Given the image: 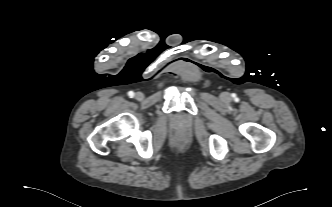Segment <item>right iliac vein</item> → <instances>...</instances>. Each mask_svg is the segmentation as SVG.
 Instances as JSON below:
<instances>
[{"mask_svg": "<svg viewBox=\"0 0 332 207\" xmlns=\"http://www.w3.org/2000/svg\"><path fill=\"white\" fill-rule=\"evenodd\" d=\"M135 98L140 101L144 98V94L142 92H137Z\"/></svg>", "mask_w": 332, "mask_h": 207, "instance_id": "obj_1", "label": "right iliac vein"}]
</instances>
